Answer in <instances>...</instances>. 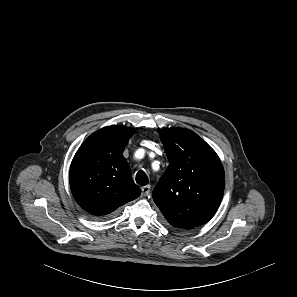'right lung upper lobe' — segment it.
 <instances>
[{
	"mask_svg": "<svg viewBox=\"0 0 297 297\" xmlns=\"http://www.w3.org/2000/svg\"><path fill=\"white\" fill-rule=\"evenodd\" d=\"M134 130L109 126L91 134L70 167V187L76 202L93 215H107L140 196L123 156Z\"/></svg>",
	"mask_w": 297,
	"mask_h": 297,
	"instance_id": "obj_1",
	"label": "right lung upper lobe"
}]
</instances>
